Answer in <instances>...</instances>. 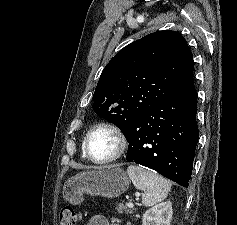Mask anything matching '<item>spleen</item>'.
<instances>
[{"instance_id":"spleen-1","label":"spleen","mask_w":237,"mask_h":225,"mask_svg":"<svg viewBox=\"0 0 237 225\" xmlns=\"http://www.w3.org/2000/svg\"><path fill=\"white\" fill-rule=\"evenodd\" d=\"M127 174L133 185L143 191L142 203L144 206H152L162 202L171 189L169 180L141 166H128Z\"/></svg>"}]
</instances>
